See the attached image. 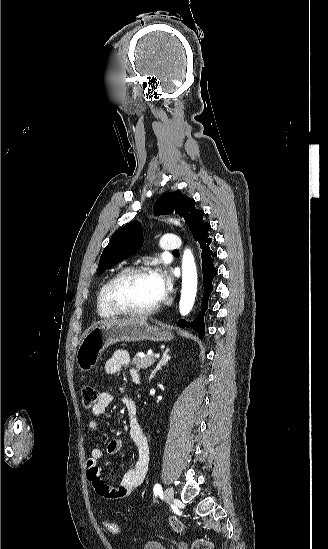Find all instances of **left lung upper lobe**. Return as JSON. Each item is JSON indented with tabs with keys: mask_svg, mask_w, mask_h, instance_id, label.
Returning a JSON list of instances; mask_svg holds the SVG:
<instances>
[{
	"mask_svg": "<svg viewBox=\"0 0 328 549\" xmlns=\"http://www.w3.org/2000/svg\"><path fill=\"white\" fill-rule=\"evenodd\" d=\"M155 210L158 215L177 213L184 218L191 230L194 240L199 241L209 236L210 224L204 222V212L195 207V201L179 190L160 196L155 202ZM143 244L140 223L132 221L117 230L111 237L108 245L102 252L98 274H102L125 257L137 252Z\"/></svg>",
	"mask_w": 328,
	"mask_h": 549,
	"instance_id": "5c2ea615",
	"label": "left lung upper lobe"
}]
</instances>
